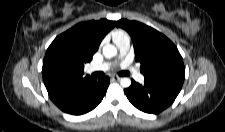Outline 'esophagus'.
<instances>
[{"instance_id":"1","label":"esophagus","mask_w":225,"mask_h":132,"mask_svg":"<svg viewBox=\"0 0 225 132\" xmlns=\"http://www.w3.org/2000/svg\"><path fill=\"white\" fill-rule=\"evenodd\" d=\"M121 78L119 76H112L111 80L113 81H119Z\"/></svg>"}]
</instances>
